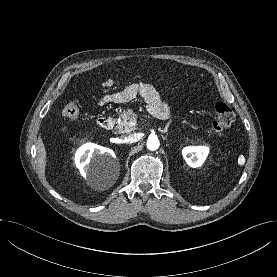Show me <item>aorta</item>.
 Here are the masks:
<instances>
[{"label": "aorta", "mask_w": 277, "mask_h": 277, "mask_svg": "<svg viewBox=\"0 0 277 277\" xmlns=\"http://www.w3.org/2000/svg\"><path fill=\"white\" fill-rule=\"evenodd\" d=\"M159 145H160V142L156 136H151L147 140V148L149 150H152V151L157 150L159 148Z\"/></svg>", "instance_id": "762f6f07"}]
</instances>
